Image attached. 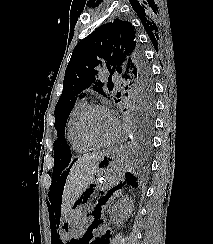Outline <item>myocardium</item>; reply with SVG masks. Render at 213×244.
Wrapping results in <instances>:
<instances>
[{
  "instance_id": "obj_1",
  "label": "myocardium",
  "mask_w": 213,
  "mask_h": 244,
  "mask_svg": "<svg viewBox=\"0 0 213 244\" xmlns=\"http://www.w3.org/2000/svg\"><path fill=\"white\" fill-rule=\"evenodd\" d=\"M94 110H103L105 112H108L112 116V118L115 122V126H116L115 133L107 141H96L88 134V131L86 128V123H87V119H88L89 115ZM120 131H121V124L118 121V119L113 115V113L110 111V109L108 107H106L105 105H102V104H98V103L89 104L87 106V108L83 111V113L79 119V122H78V132H79V135L82 138V140L84 142H86L87 144H89L90 146L96 147V148L111 146L118 139V137L120 135Z\"/></svg>"
}]
</instances>
